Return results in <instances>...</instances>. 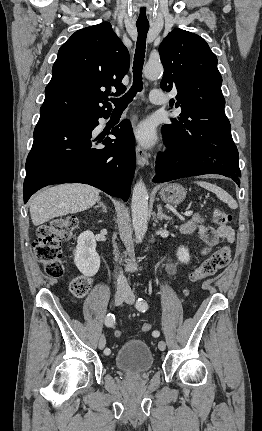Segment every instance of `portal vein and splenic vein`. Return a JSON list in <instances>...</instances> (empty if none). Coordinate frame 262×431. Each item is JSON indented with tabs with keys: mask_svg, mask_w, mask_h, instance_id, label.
I'll list each match as a JSON object with an SVG mask.
<instances>
[{
	"mask_svg": "<svg viewBox=\"0 0 262 431\" xmlns=\"http://www.w3.org/2000/svg\"><path fill=\"white\" fill-rule=\"evenodd\" d=\"M192 213H193L192 211H186V212L184 213V215H185V216H191V215H192Z\"/></svg>",
	"mask_w": 262,
	"mask_h": 431,
	"instance_id": "obj_1",
	"label": "portal vein and splenic vein"
}]
</instances>
